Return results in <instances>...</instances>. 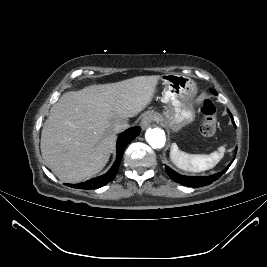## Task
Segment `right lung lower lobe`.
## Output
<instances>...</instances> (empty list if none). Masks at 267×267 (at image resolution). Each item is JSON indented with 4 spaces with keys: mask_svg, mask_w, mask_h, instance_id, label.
I'll return each mask as SVG.
<instances>
[{
    "mask_svg": "<svg viewBox=\"0 0 267 267\" xmlns=\"http://www.w3.org/2000/svg\"><path fill=\"white\" fill-rule=\"evenodd\" d=\"M140 131H141L140 127H132L120 134L117 140L116 161L114 162L112 168L106 174L76 185L73 184H67V185L78 189L89 190V189L100 188L105 184H107L108 182H110L115 177L118 171V167L120 165L125 146L128 145L136 136H138Z\"/></svg>",
    "mask_w": 267,
    "mask_h": 267,
    "instance_id": "right-lung-lower-lobe-1",
    "label": "right lung lower lobe"
}]
</instances>
